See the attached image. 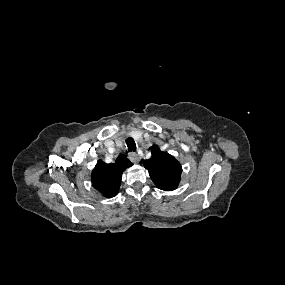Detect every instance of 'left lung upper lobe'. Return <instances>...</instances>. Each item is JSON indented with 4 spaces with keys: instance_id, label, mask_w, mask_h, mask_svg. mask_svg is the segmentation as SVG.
Masks as SVG:
<instances>
[{
    "instance_id": "1",
    "label": "left lung upper lobe",
    "mask_w": 285,
    "mask_h": 285,
    "mask_svg": "<svg viewBox=\"0 0 285 285\" xmlns=\"http://www.w3.org/2000/svg\"><path fill=\"white\" fill-rule=\"evenodd\" d=\"M152 158L145 160L144 165L151 179L158 188L172 191L178 187L182 168L170 154L163 153L156 145L151 147Z\"/></svg>"
}]
</instances>
